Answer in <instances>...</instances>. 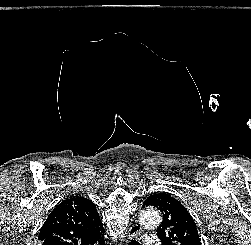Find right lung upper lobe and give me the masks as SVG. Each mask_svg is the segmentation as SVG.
<instances>
[{"mask_svg": "<svg viewBox=\"0 0 251 245\" xmlns=\"http://www.w3.org/2000/svg\"><path fill=\"white\" fill-rule=\"evenodd\" d=\"M102 222L88 198L72 196L54 208L43 224L38 245H92L102 236Z\"/></svg>", "mask_w": 251, "mask_h": 245, "instance_id": "right-lung-upper-lobe-1", "label": "right lung upper lobe"}]
</instances>
